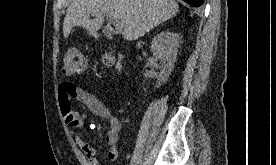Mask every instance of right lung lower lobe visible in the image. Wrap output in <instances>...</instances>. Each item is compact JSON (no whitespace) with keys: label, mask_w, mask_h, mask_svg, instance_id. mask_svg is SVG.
Here are the masks:
<instances>
[{"label":"right lung lower lobe","mask_w":276,"mask_h":165,"mask_svg":"<svg viewBox=\"0 0 276 165\" xmlns=\"http://www.w3.org/2000/svg\"><path fill=\"white\" fill-rule=\"evenodd\" d=\"M193 7H199L203 4L204 0H184Z\"/></svg>","instance_id":"obj_1"}]
</instances>
